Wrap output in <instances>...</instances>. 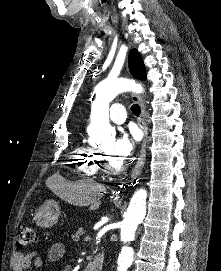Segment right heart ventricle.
Wrapping results in <instances>:
<instances>
[{"instance_id":"1","label":"right heart ventricle","mask_w":221,"mask_h":271,"mask_svg":"<svg viewBox=\"0 0 221 271\" xmlns=\"http://www.w3.org/2000/svg\"><path fill=\"white\" fill-rule=\"evenodd\" d=\"M73 161H74V164H81V161L82 163H87V164H82V166H78L80 176H95V172H97V169H98V164H93L89 160V158H72L71 162L73 163Z\"/></svg>"}]
</instances>
